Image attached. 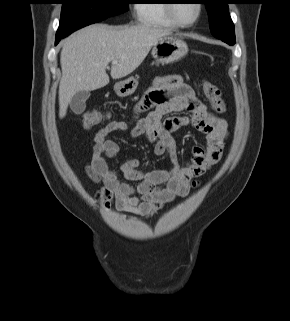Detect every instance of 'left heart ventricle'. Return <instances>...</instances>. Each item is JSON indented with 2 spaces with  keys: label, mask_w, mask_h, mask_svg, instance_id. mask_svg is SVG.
Returning a JSON list of instances; mask_svg holds the SVG:
<instances>
[{
  "label": "left heart ventricle",
  "mask_w": 290,
  "mask_h": 321,
  "mask_svg": "<svg viewBox=\"0 0 290 321\" xmlns=\"http://www.w3.org/2000/svg\"><path fill=\"white\" fill-rule=\"evenodd\" d=\"M175 13L179 19L184 22L192 21L197 15V6L194 1L184 0L181 3H176Z\"/></svg>",
  "instance_id": "b2bd125f"
}]
</instances>
